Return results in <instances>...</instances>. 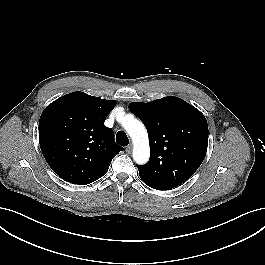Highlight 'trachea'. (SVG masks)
<instances>
[{
  "mask_svg": "<svg viewBox=\"0 0 265 265\" xmlns=\"http://www.w3.org/2000/svg\"><path fill=\"white\" fill-rule=\"evenodd\" d=\"M116 142L121 146H127L129 143L128 137L124 131H118L116 134Z\"/></svg>",
  "mask_w": 265,
  "mask_h": 265,
  "instance_id": "obj_1",
  "label": "trachea"
}]
</instances>
